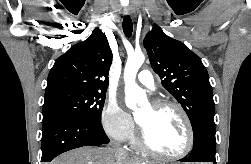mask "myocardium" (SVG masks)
<instances>
[{"label": "myocardium", "mask_w": 251, "mask_h": 164, "mask_svg": "<svg viewBox=\"0 0 251 164\" xmlns=\"http://www.w3.org/2000/svg\"><path fill=\"white\" fill-rule=\"evenodd\" d=\"M151 105L156 109L171 108V109L176 110L179 113V115L181 116V118L185 124V127H186L187 143H186L184 150L178 154L169 155V154L162 153V152L158 151L157 149H155L149 143L143 127L138 122V139H137V141H138L140 148L142 150H144L145 152H147L148 154L155 156L157 158H160V159H164V160L182 159L183 157H185L186 155H188L192 151L193 146H194V141H195L193 125H192V122H191L188 114L186 113V111L184 110V108L180 104L173 102V101L155 100L151 103Z\"/></svg>", "instance_id": "myocardium-1"}]
</instances>
